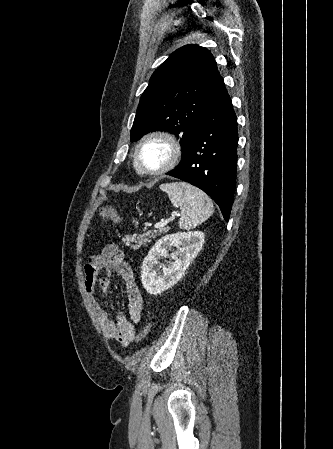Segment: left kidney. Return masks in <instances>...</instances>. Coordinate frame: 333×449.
<instances>
[{
  "label": "left kidney",
  "instance_id": "left-kidney-1",
  "mask_svg": "<svg viewBox=\"0 0 333 449\" xmlns=\"http://www.w3.org/2000/svg\"><path fill=\"white\" fill-rule=\"evenodd\" d=\"M204 238L203 232L194 231L168 234L158 240L145 257L141 267V281L146 291L157 295L176 284L201 251ZM173 248L177 250L169 255V251ZM169 256L172 261L168 265L158 266L161 258ZM160 267H162V273L157 272Z\"/></svg>",
  "mask_w": 333,
  "mask_h": 449
}]
</instances>
